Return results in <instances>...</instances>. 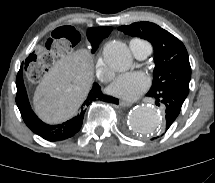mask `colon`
<instances>
[{
  "instance_id": "1",
  "label": "colon",
  "mask_w": 215,
  "mask_h": 183,
  "mask_svg": "<svg viewBox=\"0 0 215 183\" xmlns=\"http://www.w3.org/2000/svg\"><path fill=\"white\" fill-rule=\"evenodd\" d=\"M82 41V33L75 26L66 25L56 29L33 46L23 65L25 75L34 81L44 79L55 62L77 50Z\"/></svg>"
}]
</instances>
